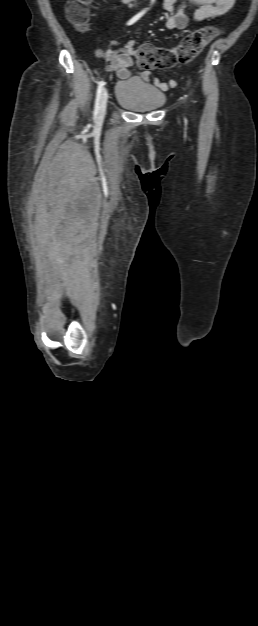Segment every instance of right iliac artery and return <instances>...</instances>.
<instances>
[{"label":"right iliac artery","mask_w":258,"mask_h":626,"mask_svg":"<svg viewBox=\"0 0 258 626\" xmlns=\"http://www.w3.org/2000/svg\"><path fill=\"white\" fill-rule=\"evenodd\" d=\"M144 13H145V11H142V12L138 13L137 15H135L133 18H131L127 22V25H132L133 23H135ZM104 85H105V82L103 80L98 83V88H97V92H96V99H95V105H94V112H93L95 117L98 115V112H99V104H100V99H101V95H102V91H103V86Z\"/></svg>","instance_id":"obj_1"}]
</instances>
